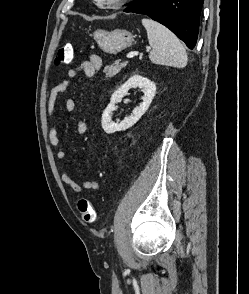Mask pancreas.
<instances>
[{"mask_svg": "<svg viewBox=\"0 0 249 294\" xmlns=\"http://www.w3.org/2000/svg\"><path fill=\"white\" fill-rule=\"evenodd\" d=\"M127 61L120 63L118 60L115 61L112 65H108L104 68V73L107 78H111L118 74L122 68L127 65Z\"/></svg>", "mask_w": 249, "mask_h": 294, "instance_id": "cf45deb5", "label": "pancreas"}]
</instances>
